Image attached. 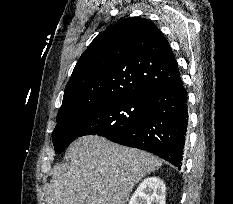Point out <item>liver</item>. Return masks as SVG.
<instances>
[{"mask_svg": "<svg viewBox=\"0 0 233 204\" xmlns=\"http://www.w3.org/2000/svg\"><path fill=\"white\" fill-rule=\"evenodd\" d=\"M66 158L70 167L52 177L47 204H126L134 186L162 165L150 153L97 135L75 140Z\"/></svg>", "mask_w": 233, "mask_h": 204, "instance_id": "6515ba94", "label": "liver"}]
</instances>
